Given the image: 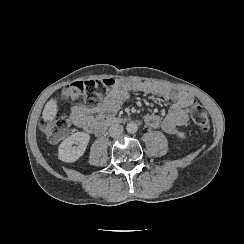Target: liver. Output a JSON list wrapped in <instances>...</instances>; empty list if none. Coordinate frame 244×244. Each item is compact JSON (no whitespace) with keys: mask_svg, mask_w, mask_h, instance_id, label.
<instances>
[{"mask_svg":"<svg viewBox=\"0 0 244 244\" xmlns=\"http://www.w3.org/2000/svg\"><path fill=\"white\" fill-rule=\"evenodd\" d=\"M58 111L57 100L50 99L44 107L42 118L44 121L52 120L55 118Z\"/></svg>","mask_w":244,"mask_h":244,"instance_id":"6515ba94","label":"liver"}]
</instances>
